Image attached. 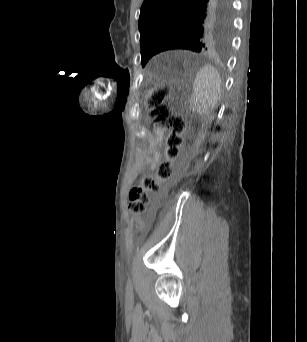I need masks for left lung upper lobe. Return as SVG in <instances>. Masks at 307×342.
<instances>
[{"mask_svg": "<svg viewBox=\"0 0 307 342\" xmlns=\"http://www.w3.org/2000/svg\"><path fill=\"white\" fill-rule=\"evenodd\" d=\"M230 0H145L139 31L142 66L166 50L224 53L232 31Z\"/></svg>", "mask_w": 307, "mask_h": 342, "instance_id": "5c2ea615", "label": "left lung upper lobe"}]
</instances>
